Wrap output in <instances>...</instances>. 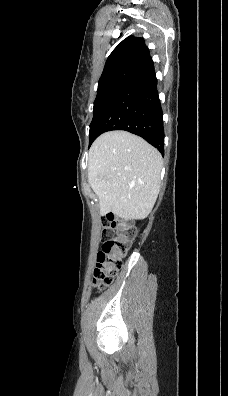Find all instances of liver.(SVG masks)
<instances>
[{
    "label": "liver",
    "instance_id": "liver-1",
    "mask_svg": "<svg viewBox=\"0 0 228 396\" xmlns=\"http://www.w3.org/2000/svg\"><path fill=\"white\" fill-rule=\"evenodd\" d=\"M162 156L144 139L126 131L99 136L89 150L88 182L99 198L100 214L142 220L160 191Z\"/></svg>",
    "mask_w": 228,
    "mask_h": 396
}]
</instances>
